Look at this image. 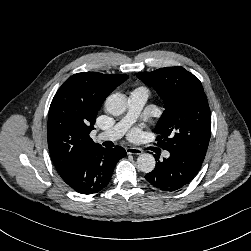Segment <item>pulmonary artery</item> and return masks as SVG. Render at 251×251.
I'll list each match as a JSON object with an SVG mask.
<instances>
[{"instance_id":"pulmonary-artery-1","label":"pulmonary artery","mask_w":251,"mask_h":251,"mask_svg":"<svg viewBox=\"0 0 251 251\" xmlns=\"http://www.w3.org/2000/svg\"><path fill=\"white\" fill-rule=\"evenodd\" d=\"M149 93L144 88L133 90L128 98V112L126 116L111 129L98 135L99 140L115 141L123 136L128 126L138 117L145 103L147 102ZM163 156L168 158L169 152L165 151Z\"/></svg>"}]
</instances>
